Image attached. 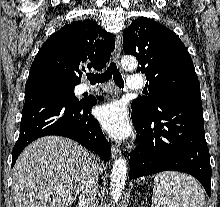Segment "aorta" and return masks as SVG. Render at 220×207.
<instances>
[{
	"instance_id": "obj_1",
	"label": "aorta",
	"mask_w": 220,
	"mask_h": 207,
	"mask_svg": "<svg viewBox=\"0 0 220 207\" xmlns=\"http://www.w3.org/2000/svg\"><path fill=\"white\" fill-rule=\"evenodd\" d=\"M121 66L125 70H134L138 63L133 56H124L121 59ZM127 179V162L124 158L115 160L111 170V196L115 202H118L122 195Z\"/></svg>"
}]
</instances>
